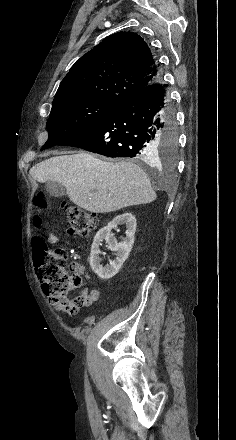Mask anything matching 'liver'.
I'll return each mask as SVG.
<instances>
[{
    "instance_id": "6515ba94",
    "label": "liver",
    "mask_w": 236,
    "mask_h": 440,
    "mask_svg": "<svg viewBox=\"0 0 236 440\" xmlns=\"http://www.w3.org/2000/svg\"><path fill=\"white\" fill-rule=\"evenodd\" d=\"M37 182L62 184L69 199L92 213H109L156 199L147 174L130 161L107 162L85 152L51 157L33 166Z\"/></svg>"
}]
</instances>
